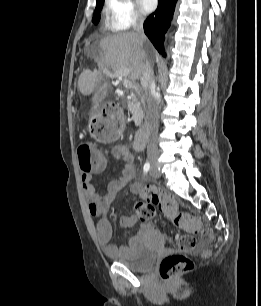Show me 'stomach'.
Returning <instances> with one entry per match:
<instances>
[{"mask_svg":"<svg viewBox=\"0 0 261 306\" xmlns=\"http://www.w3.org/2000/svg\"><path fill=\"white\" fill-rule=\"evenodd\" d=\"M101 118H102V111L97 110L91 114V123H93L94 120L96 121V123H98ZM122 126H123V121H122Z\"/></svg>","mask_w":261,"mask_h":306,"instance_id":"0dacf381","label":"stomach"}]
</instances>
